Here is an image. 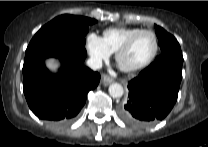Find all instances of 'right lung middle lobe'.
<instances>
[{"label":"right lung middle lobe","mask_w":208,"mask_h":147,"mask_svg":"<svg viewBox=\"0 0 208 147\" xmlns=\"http://www.w3.org/2000/svg\"><path fill=\"white\" fill-rule=\"evenodd\" d=\"M95 19L64 14L44 25L32 38L30 43L47 39L58 34H67L85 44V36Z\"/></svg>","instance_id":"dd1d6c3e"}]
</instances>
